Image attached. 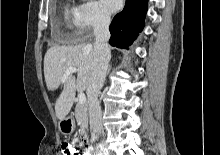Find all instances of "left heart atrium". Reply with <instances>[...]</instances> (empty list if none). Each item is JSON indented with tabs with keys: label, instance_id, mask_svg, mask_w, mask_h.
<instances>
[{
	"label": "left heart atrium",
	"instance_id": "39dd6f15",
	"mask_svg": "<svg viewBox=\"0 0 220 155\" xmlns=\"http://www.w3.org/2000/svg\"><path fill=\"white\" fill-rule=\"evenodd\" d=\"M103 7L109 12H115L122 6V0H101Z\"/></svg>",
	"mask_w": 220,
	"mask_h": 155
}]
</instances>
